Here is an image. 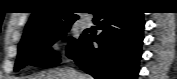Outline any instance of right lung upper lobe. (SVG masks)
<instances>
[{
    "label": "right lung upper lobe",
    "mask_w": 177,
    "mask_h": 79,
    "mask_svg": "<svg viewBox=\"0 0 177 79\" xmlns=\"http://www.w3.org/2000/svg\"><path fill=\"white\" fill-rule=\"evenodd\" d=\"M71 7L58 1H39L34 7L30 20L26 24L23 38L42 29L63 26L73 23L78 16L70 12ZM94 9V15L96 13Z\"/></svg>",
    "instance_id": "obj_1"
}]
</instances>
